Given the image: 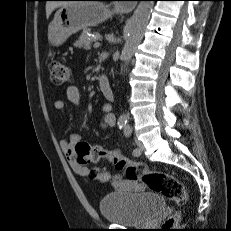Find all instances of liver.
Listing matches in <instances>:
<instances>
[{
  "mask_svg": "<svg viewBox=\"0 0 231 231\" xmlns=\"http://www.w3.org/2000/svg\"><path fill=\"white\" fill-rule=\"evenodd\" d=\"M69 2L66 1H49L46 3V16L49 17L52 11L58 7L66 6Z\"/></svg>",
  "mask_w": 231,
  "mask_h": 231,
  "instance_id": "1",
  "label": "liver"
}]
</instances>
